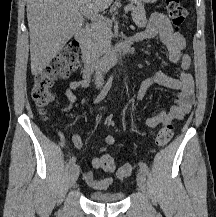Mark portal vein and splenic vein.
<instances>
[{"instance_id":"1","label":"portal vein and splenic vein","mask_w":216,"mask_h":217,"mask_svg":"<svg viewBox=\"0 0 216 217\" xmlns=\"http://www.w3.org/2000/svg\"><path fill=\"white\" fill-rule=\"evenodd\" d=\"M132 9L131 5H127L124 10L126 12L130 11ZM84 15H86L88 18L93 19V20H101L104 17L100 16L97 12H93V11H82Z\"/></svg>"}]
</instances>
